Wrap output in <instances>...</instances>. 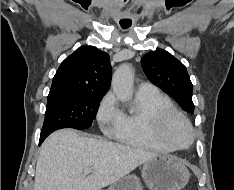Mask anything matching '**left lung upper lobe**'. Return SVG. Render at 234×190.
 Instances as JSON below:
<instances>
[{"label":"left lung upper lobe","mask_w":234,"mask_h":190,"mask_svg":"<svg viewBox=\"0 0 234 190\" xmlns=\"http://www.w3.org/2000/svg\"><path fill=\"white\" fill-rule=\"evenodd\" d=\"M148 79L173 97L187 112H194L192 82L186 67L165 50L147 53L141 60Z\"/></svg>","instance_id":"1"}]
</instances>
